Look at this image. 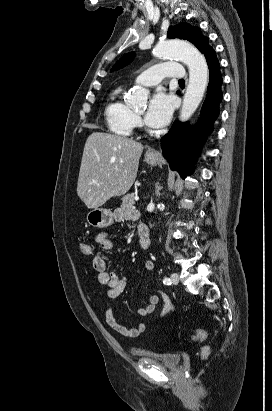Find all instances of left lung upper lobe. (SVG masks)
<instances>
[{
  "instance_id": "obj_1",
  "label": "left lung upper lobe",
  "mask_w": 272,
  "mask_h": 411,
  "mask_svg": "<svg viewBox=\"0 0 272 411\" xmlns=\"http://www.w3.org/2000/svg\"><path fill=\"white\" fill-rule=\"evenodd\" d=\"M168 38L186 39L192 42L204 55H206L212 47L209 46V40L202 35L198 27L193 28L186 23H180L175 26H170L168 29ZM135 56V53H128L123 56L113 66L111 71L117 70L129 64Z\"/></svg>"
}]
</instances>
